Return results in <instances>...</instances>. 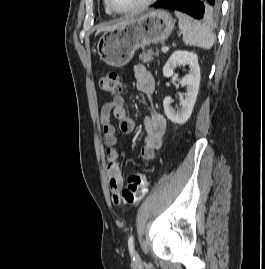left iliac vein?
I'll list each match as a JSON object with an SVG mask.
<instances>
[{
    "label": "left iliac vein",
    "mask_w": 265,
    "mask_h": 269,
    "mask_svg": "<svg viewBox=\"0 0 265 269\" xmlns=\"http://www.w3.org/2000/svg\"><path fill=\"white\" fill-rule=\"evenodd\" d=\"M134 255H135V256H136L137 258H138V255H137V253H135Z\"/></svg>",
    "instance_id": "4c4485c4"
}]
</instances>
